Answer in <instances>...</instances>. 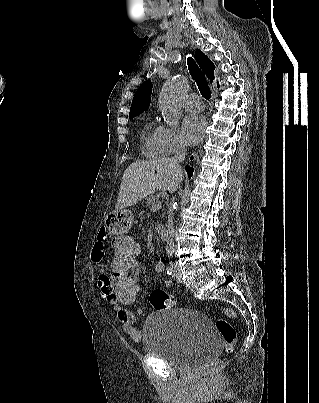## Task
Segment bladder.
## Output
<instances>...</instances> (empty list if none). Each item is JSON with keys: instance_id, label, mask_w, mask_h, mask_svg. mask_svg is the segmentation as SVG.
Returning a JSON list of instances; mask_svg holds the SVG:
<instances>
[{"instance_id": "1", "label": "bladder", "mask_w": 319, "mask_h": 403, "mask_svg": "<svg viewBox=\"0 0 319 403\" xmlns=\"http://www.w3.org/2000/svg\"><path fill=\"white\" fill-rule=\"evenodd\" d=\"M146 351L171 367L194 371L208 362L221 341L207 316L194 310H158L144 324Z\"/></svg>"}]
</instances>
